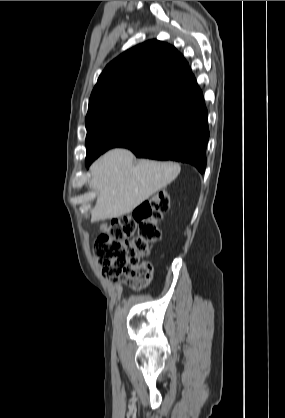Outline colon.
I'll return each mask as SVG.
<instances>
[{
  "mask_svg": "<svg viewBox=\"0 0 285 418\" xmlns=\"http://www.w3.org/2000/svg\"><path fill=\"white\" fill-rule=\"evenodd\" d=\"M170 208V194L160 190L123 219L112 220L94 239L102 274L116 281L126 269L141 265L162 235L158 220Z\"/></svg>",
  "mask_w": 285,
  "mask_h": 418,
  "instance_id": "colon-1",
  "label": "colon"
}]
</instances>
